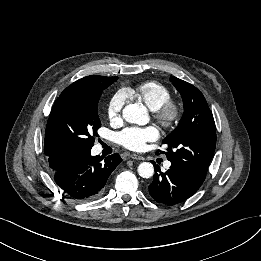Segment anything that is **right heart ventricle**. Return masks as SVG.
Here are the masks:
<instances>
[{"label":"right heart ventricle","instance_id":"right-heart-ventricle-1","mask_svg":"<svg viewBox=\"0 0 261 261\" xmlns=\"http://www.w3.org/2000/svg\"><path fill=\"white\" fill-rule=\"evenodd\" d=\"M124 91L127 96L141 100L151 111L157 110L170 98L168 87L155 81L144 82L134 89H125Z\"/></svg>","mask_w":261,"mask_h":261}]
</instances>
